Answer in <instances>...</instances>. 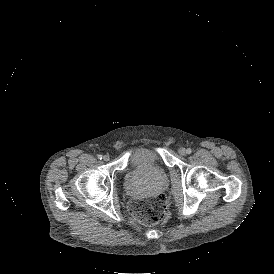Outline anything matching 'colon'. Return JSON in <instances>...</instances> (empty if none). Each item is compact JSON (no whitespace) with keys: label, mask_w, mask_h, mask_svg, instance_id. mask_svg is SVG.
Wrapping results in <instances>:
<instances>
[{"label":"colon","mask_w":274,"mask_h":274,"mask_svg":"<svg viewBox=\"0 0 274 274\" xmlns=\"http://www.w3.org/2000/svg\"><path fill=\"white\" fill-rule=\"evenodd\" d=\"M129 210L133 219L143 225L161 224L168 218V202L162 193L133 197Z\"/></svg>","instance_id":"5ec220e1"}]
</instances>
